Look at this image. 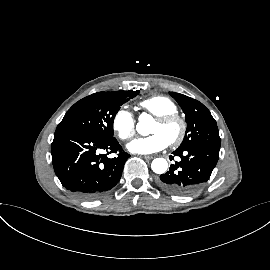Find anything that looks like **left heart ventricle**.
Returning a JSON list of instances; mask_svg holds the SVG:
<instances>
[{"label": "left heart ventricle", "instance_id": "1", "mask_svg": "<svg viewBox=\"0 0 270 270\" xmlns=\"http://www.w3.org/2000/svg\"><path fill=\"white\" fill-rule=\"evenodd\" d=\"M180 131V125L177 122L170 124H161L155 121L151 127L152 134H161L168 142L174 140Z\"/></svg>", "mask_w": 270, "mask_h": 270}]
</instances>
